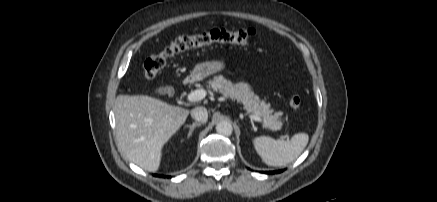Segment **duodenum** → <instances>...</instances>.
I'll return each mask as SVG.
<instances>
[{"mask_svg": "<svg viewBox=\"0 0 437 202\" xmlns=\"http://www.w3.org/2000/svg\"><path fill=\"white\" fill-rule=\"evenodd\" d=\"M192 82H193V79H192V78H187V79L185 80V84H186V85L191 84Z\"/></svg>", "mask_w": 437, "mask_h": 202, "instance_id": "obj_1", "label": "duodenum"}]
</instances>
